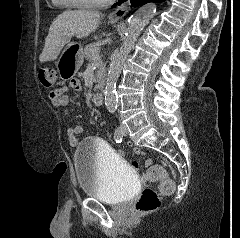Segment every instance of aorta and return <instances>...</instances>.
<instances>
[{"label": "aorta", "mask_w": 240, "mask_h": 238, "mask_svg": "<svg viewBox=\"0 0 240 238\" xmlns=\"http://www.w3.org/2000/svg\"><path fill=\"white\" fill-rule=\"evenodd\" d=\"M155 13L156 4L148 3L138 9L129 19L123 45L120 47L119 52L114 55L108 70L104 94L105 106L110 113H115L117 109L118 98L116 92V83L121 69L129 53L131 52L136 39Z\"/></svg>", "instance_id": "aorta-1"}]
</instances>
